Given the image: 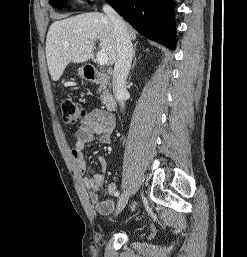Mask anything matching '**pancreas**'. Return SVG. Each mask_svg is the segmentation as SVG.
I'll use <instances>...</instances> for the list:
<instances>
[{"label":"pancreas","instance_id":"cf45deb5","mask_svg":"<svg viewBox=\"0 0 247 257\" xmlns=\"http://www.w3.org/2000/svg\"><path fill=\"white\" fill-rule=\"evenodd\" d=\"M99 90H100V92H101V91L104 90V88H100ZM102 103H105V97H104V96H102Z\"/></svg>","mask_w":247,"mask_h":257}]
</instances>
